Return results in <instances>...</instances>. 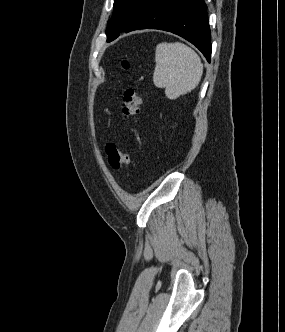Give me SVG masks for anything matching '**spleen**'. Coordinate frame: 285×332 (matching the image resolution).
Listing matches in <instances>:
<instances>
[{"label":"spleen","instance_id":"1","mask_svg":"<svg viewBox=\"0 0 285 332\" xmlns=\"http://www.w3.org/2000/svg\"><path fill=\"white\" fill-rule=\"evenodd\" d=\"M153 82L165 88L166 97L174 100L197 87L203 73L198 54L181 42L159 43L155 53Z\"/></svg>","mask_w":285,"mask_h":332}]
</instances>
